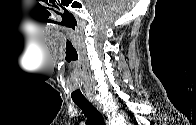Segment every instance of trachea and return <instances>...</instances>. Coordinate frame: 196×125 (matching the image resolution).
I'll use <instances>...</instances> for the list:
<instances>
[{"mask_svg":"<svg viewBox=\"0 0 196 125\" xmlns=\"http://www.w3.org/2000/svg\"><path fill=\"white\" fill-rule=\"evenodd\" d=\"M74 103L82 110L91 125H105L102 115L88 100H77Z\"/></svg>","mask_w":196,"mask_h":125,"instance_id":"obj_1","label":"trachea"}]
</instances>
